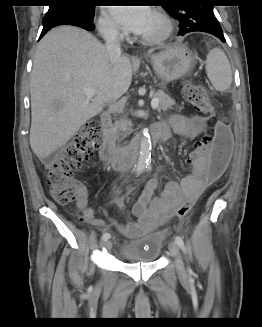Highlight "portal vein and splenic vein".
Masks as SVG:
<instances>
[{
    "mask_svg": "<svg viewBox=\"0 0 262 327\" xmlns=\"http://www.w3.org/2000/svg\"><path fill=\"white\" fill-rule=\"evenodd\" d=\"M84 93L87 97H92L96 94V90L92 88H87L84 90ZM151 106L153 109H156L159 106V99L154 97L151 101Z\"/></svg>",
    "mask_w": 262,
    "mask_h": 327,
    "instance_id": "18ae733b",
    "label": "portal vein and splenic vein"
}]
</instances>
